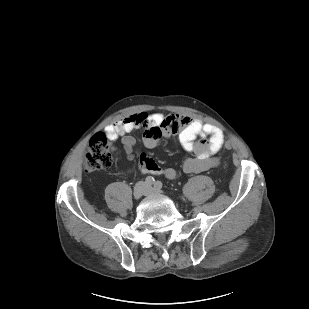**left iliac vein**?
I'll use <instances>...</instances> for the list:
<instances>
[{
	"mask_svg": "<svg viewBox=\"0 0 309 309\" xmlns=\"http://www.w3.org/2000/svg\"><path fill=\"white\" fill-rule=\"evenodd\" d=\"M162 192L157 189L149 188L147 194H161Z\"/></svg>",
	"mask_w": 309,
	"mask_h": 309,
	"instance_id": "obj_1",
	"label": "left iliac vein"
}]
</instances>
